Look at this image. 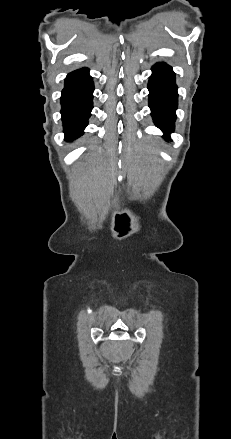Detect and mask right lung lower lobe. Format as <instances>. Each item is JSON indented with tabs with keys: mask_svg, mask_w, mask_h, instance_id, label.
<instances>
[{
	"mask_svg": "<svg viewBox=\"0 0 231 439\" xmlns=\"http://www.w3.org/2000/svg\"><path fill=\"white\" fill-rule=\"evenodd\" d=\"M94 86L87 68L73 71L65 78L62 90V121L66 141H73L83 134L93 108Z\"/></svg>",
	"mask_w": 231,
	"mask_h": 439,
	"instance_id": "98d812e1",
	"label": "right lung lower lobe"
}]
</instances>
